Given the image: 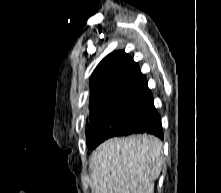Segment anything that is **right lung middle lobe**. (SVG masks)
Returning <instances> with one entry per match:
<instances>
[{
	"instance_id": "1",
	"label": "right lung middle lobe",
	"mask_w": 221,
	"mask_h": 193,
	"mask_svg": "<svg viewBox=\"0 0 221 193\" xmlns=\"http://www.w3.org/2000/svg\"><path fill=\"white\" fill-rule=\"evenodd\" d=\"M153 110L149 101H119L90 115L86 124V142L90 149L106 139L120 136L142 122Z\"/></svg>"
}]
</instances>
